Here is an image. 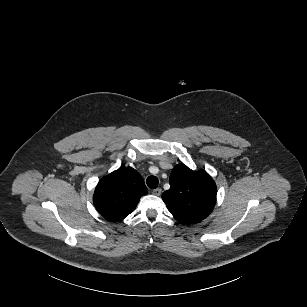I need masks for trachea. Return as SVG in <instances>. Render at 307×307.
I'll return each mask as SVG.
<instances>
[{"instance_id": "1", "label": "trachea", "mask_w": 307, "mask_h": 307, "mask_svg": "<svg viewBox=\"0 0 307 307\" xmlns=\"http://www.w3.org/2000/svg\"><path fill=\"white\" fill-rule=\"evenodd\" d=\"M146 183H147V185H148V187H149L150 189H155V188L158 186V184H159V180H158V178L155 177V176H149V177L146 179Z\"/></svg>"}]
</instances>
